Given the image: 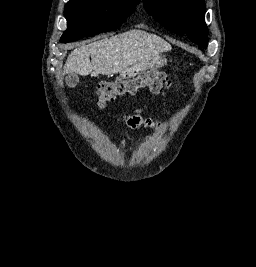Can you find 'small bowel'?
<instances>
[{"label":"small bowel","instance_id":"1","mask_svg":"<svg viewBox=\"0 0 256 267\" xmlns=\"http://www.w3.org/2000/svg\"><path fill=\"white\" fill-rule=\"evenodd\" d=\"M123 121L130 128H137L140 126L152 127L155 130H160L162 128L159 122L152 120L150 118L143 117L140 111H136L133 114L124 115ZM119 144L122 146L123 141H120Z\"/></svg>","mask_w":256,"mask_h":267}]
</instances>
